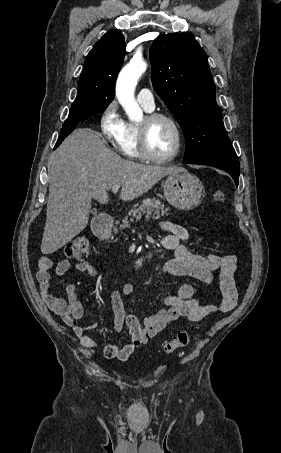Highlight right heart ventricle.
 <instances>
[{
    "label": "right heart ventricle",
    "mask_w": 281,
    "mask_h": 453,
    "mask_svg": "<svg viewBox=\"0 0 281 453\" xmlns=\"http://www.w3.org/2000/svg\"><path fill=\"white\" fill-rule=\"evenodd\" d=\"M140 106L147 112H152L148 110L142 103H139ZM117 151L124 157L130 159H139L141 153L139 150V124L133 122L132 120L124 121L122 132L116 141Z\"/></svg>",
    "instance_id": "e07e8e85"
}]
</instances>
